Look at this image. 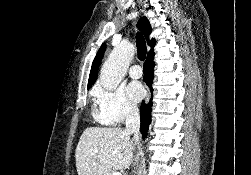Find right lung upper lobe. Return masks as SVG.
Segmentation results:
<instances>
[{
    "instance_id": "cb5924a9",
    "label": "right lung upper lobe",
    "mask_w": 251,
    "mask_h": 175,
    "mask_svg": "<svg viewBox=\"0 0 251 175\" xmlns=\"http://www.w3.org/2000/svg\"><path fill=\"white\" fill-rule=\"evenodd\" d=\"M138 26L142 30L143 34L145 35L148 44L151 46V50L148 52V55H147V60H153V58H154L153 47H154L156 41H155V39L149 40V35H150L152 29H151V26H150L147 18L146 17L141 18L138 22ZM105 48H106L105 45L101 46V48L98 50L96 57L93 61L90 76H89V81H88V89L95 83V81L97 79L98 67H99L100 62L102 60V57L104 55Z\"/></svg>"
}]
</instances>
